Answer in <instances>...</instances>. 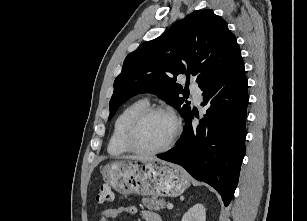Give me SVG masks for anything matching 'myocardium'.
<instances>
[{"label":"myocardium","instance_id":"1","mask_svg":"<svg viewBox=\"0 0 307 221\" xmlns=\"http://www.w3.org/2000/svg\"><path fill=\"white\" fill-rule=\"evenodd\" d=\"M153 114H163L172 118L174 122V131L168 141L161 147L156 149H143L135 143V134L142 121ZM181 131L180 123L175 114L166 108L157 106H148L137 112L128 122L124 135L123 143L128 151L139 155H157L168 151L175 143Z\"/></svg>","mask_w":307,"mask_h":221}]
</instances>
